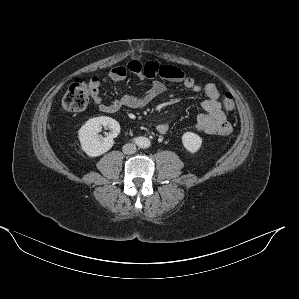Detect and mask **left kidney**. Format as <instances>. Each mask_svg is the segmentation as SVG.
<instances>
[{"mask_svg": "<svg viewBox=\"0 0 299 299\" xmlns=\"http://www.w3.org/2000/svg\"><path fill=\"white\" fill-rule=\"evenodd\" d=\"M182 143L186 150L196 153L202 145V139L196 133L186 132L182 135Z\"/></svg>", "mask_w": 299, "mask_h": 299, "instance_id": "obj_1", "label": "left kidney"}]
</instances>
